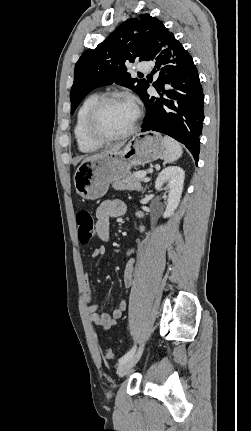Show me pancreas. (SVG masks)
<instances>
[{
  "label": "pancreas",
  "instance_id": "cf45deb5",
  "mask_svg": "<svg viewBox=\"0 0 251 431\" xmlns=\"http://www.w3.org/2000/svg\"><path fill=\"white\" fill-rule=\"evenodd\" d=\"M137 173H139V172L129 173L124 178L117 180V181H113L112 187L115 190H137V191H141L143 189L142 182L144 181V178L137 177L136 176Z\"/></svg>",
  "mask_w": 251,
  "mask_h": 431
}]
</instances>
